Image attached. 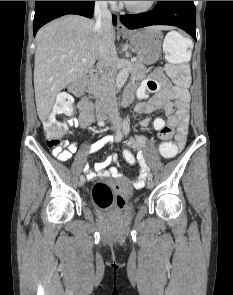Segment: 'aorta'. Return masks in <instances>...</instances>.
Segmentation results:
<instances>
[{"mask_svg": "<svg viewBox=\"0 0 233 295\" xmlns=\"http://www.w3.org/2000/svg\"><path fill=\"white\" fill-rule=\"evenodd\" d=\"M129 76V70L127 67L122 68L116 77V86L117 88H121L125 82L127 81Z\"/></svg>", "mask_w": 233, "mask_h": 295, "instance_id": "obj_1", "label": "aorta"}]
</instances>
